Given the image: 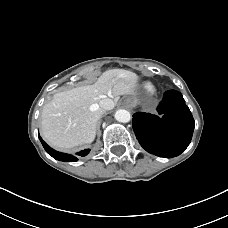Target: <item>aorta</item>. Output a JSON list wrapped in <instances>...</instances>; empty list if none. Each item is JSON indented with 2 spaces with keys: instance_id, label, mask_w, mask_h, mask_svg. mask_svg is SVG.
<instances>
[{
  "instance_id": "obj_1",
  "label": "aorta",
  "mask_w": 228,
  "mask_h": 228,
  "mask_svg": "<svg viewBox=\"0 0 228 228\" xmlns=\"http://www.w3.org/2000/svg\"><path fill=\"white\" fill-rule=\"evenodd\" d=\"M115 119L122 123H127L131 119L130 112L125 109H119L115 112Z\"/></svg>"
}]
</instances>
